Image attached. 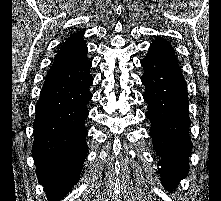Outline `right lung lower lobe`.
<instances>
[{
	"label": "right lung lower lobe",
	"instance_id": "obj_1",
	"mask_svg": "<svg viewBox=\"0 0 221 201\" xmlns=\"http://www.w3.org/2000/svg\"><path fill=\"white\" fill-rule=\"evenodd\" d=\"M90 61L53 65L36 105L32 156L48 201H60L77 183L88 146L86 107L92 94Z\"/></svg>",
	"mask_w": 221,
	"mask_h": 201
}]
</instances>
